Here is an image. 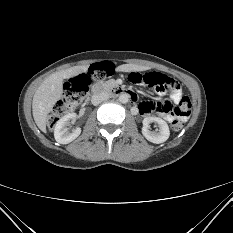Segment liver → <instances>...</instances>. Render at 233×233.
<instances>
[{"instance_id": "obj_1", "label": "liver", "mask_w": 233, "mask_h": 233, "mask_svg": "<svg viewBox=\"0 0 233 233\" xmlns=\"http://www.w3.org/2000/svg\"><path fill=\"white\" fill-rule=\"evenodd\" d=\"M88 66H74L48 76L36 90L32 101L35 123L41 131L46 130L47 115L63 93V81L87 70ZM147 67L135 64H123L116 68L119 72L144 71Z\"/></svg>"}]
</instances>
